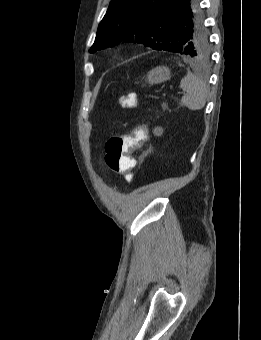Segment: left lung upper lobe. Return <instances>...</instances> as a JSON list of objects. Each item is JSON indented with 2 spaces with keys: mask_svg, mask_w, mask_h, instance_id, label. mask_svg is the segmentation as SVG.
I'll return each mask as SVG.
<instances>
[{
  "mask_svg": "<svg viewBox=\"0 0 261 340\" xmlns=\"http://www.w3.org/2000/svg\"><path fill=\"white\" fill-rule=\"evenodd\" d=\"M164 1L111 0L90 52L114 46L125 39L189 58L207 57L210 43L200 6L190 17L183 14L171 20L161 12Z\"/></svg>",
  "mask_w": 261,
  "mask_h": 340,
  "instance_id": "left-lung-upper-lobe-1",
  "label": "left lung upper lobe"
}]
</instances>
